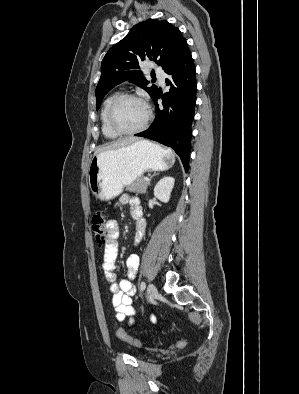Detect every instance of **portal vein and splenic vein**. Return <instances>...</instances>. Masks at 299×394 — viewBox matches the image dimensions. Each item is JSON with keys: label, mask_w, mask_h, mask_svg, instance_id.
Segmentation results:
<instances>
[{"label": "portal vein and splenic vein", "mask_w": 299, "mask_h": 394, "mask_svg": "<svg viewBox=\"0 0 299 394\" xmlns=\"http://www.w3.org/2000/svg\"><path fill=\"white\" fill-rule=\"evenodd\" d=\"M145 181H146V182H149V178H148V177H145Z\"/></svg>", "instance_id": "portal-vein-and-splenic-vein-1"}]
</instances>
